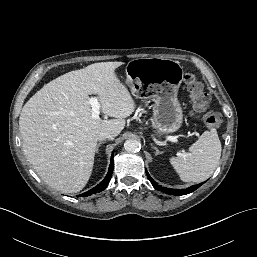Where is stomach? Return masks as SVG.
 <instances>
[{"label":"stomach","instance_id":"obj_1","mask_svg":"<svg viewBox=\"0 0 257 257\" xmlns=\"http://www.w3.org/2000/svg\"><path fill=\"white\" fill-rule=\"evenodd\" d=\"M126 84L134 96L152 98L153 127L159 135L177 131L183 112L177 98L183 68L172 59L137 58L126 65Z\"/></svg>","mask_w":257,"mask_h":257}]
</instances>
